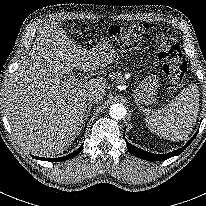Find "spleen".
Returning a JSON list of instances; mask_svg holds the SVG:
<instances>
[{
    "instance_id": "3e777b00",
    "label": "spleen",
    "mask_w": 206,
    "mask_h": 206,
    "mask_svg": "<svg viewBox=\"0 0 206 206\" xmlns=\"http://www.w3.org/2000/svg\"><path fill=\"white\" fill-rule=\"evenodd\" d=\"M199 90L196 84L183 89L170 103L145 118L147 127L156 135L174 141L185 140L196 124Z\"/></svg>"
}]
</instances>
